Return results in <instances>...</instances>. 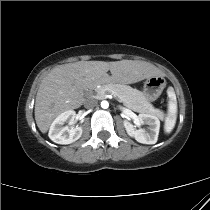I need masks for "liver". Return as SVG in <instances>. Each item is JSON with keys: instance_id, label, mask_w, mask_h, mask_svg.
I'll list each match as a JSON object with an SVG mask.
<instances>
[{"instance_id": "6515ba94", "label": "liver", "mask_w": 210, "mask_h": 210, "mask_svg": "<svg viewBox=\"0 0 210 210\" xmlns=\"http://www.w3.org/2000/svg\"><path fill=\"white\" fill-rule=\"evenodd\" d=\"M159 74L153 65L136 60L78 61L56 67L39 86L35 101L36 124L46 133L58 115L84 103L86 89L105 83L132 84Z\"/></svg>"}]
</instances>
